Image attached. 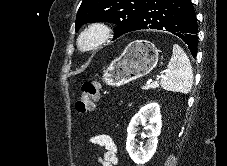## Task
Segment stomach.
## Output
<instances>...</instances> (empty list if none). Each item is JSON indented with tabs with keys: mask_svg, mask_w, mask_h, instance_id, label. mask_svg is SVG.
Returning <instances> with one entry per match:
<instances>
[{
	"mask_svg": "<svg viewBox=\"0 0 227 166\" xmlns=\"http://www.w3.org/2000/svg\"><path fill=\"white\" fill-rule=\"evenodd\" d=\"M159 50L146 40L129 43L123 53L103 72V81L110 86H122L150 73L157 65Z\"/></svg>",
	"mask_w": 227,
	"mask_h": 166,
	"instance_id": "stomach-1",
	"label": "stomach"
}]
</instances>
